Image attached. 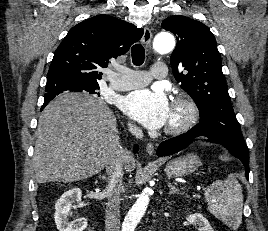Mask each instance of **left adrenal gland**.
Instances as JSON below:
<instances>
[{"instance_id":"1","label":"left adrenal gland","mask_w":268,"mask_h":231,"mask_svg":"<svg viewBox=\"0 0 268 231\" xmlns=\"http://www.w3.org/2000/svg\"><path fill=\"white\" fill-rule=\"evenodd\" d=\"M168 187L170 188L169 194H179V189L173 186L170 182H168Z\"/></svg>"}]
</instances>
